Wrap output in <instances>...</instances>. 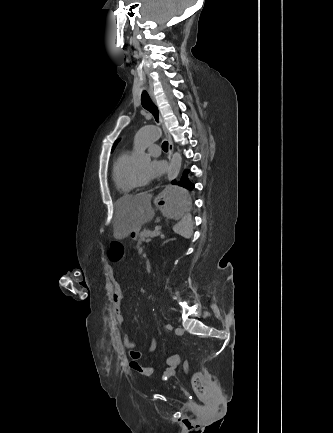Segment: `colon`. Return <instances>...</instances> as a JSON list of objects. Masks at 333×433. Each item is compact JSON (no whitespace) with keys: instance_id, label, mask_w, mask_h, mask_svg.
<instances>
[{"instance_id":"1","label":"colon","mask_w":333,"mask_h":433,"mask_svg":"<svg viewBox=\"0 0 333 433\" xmlns=\"http://www.w3.org/2000/svg\"><path fill=\"white\" fill-rule=\"evenodd\" d=\"M108 251L110 253V263L111 265H120L121 258L125 251V246L122 240H113L108 246ZM181 362V357L178 354L169 356L166 359V364L170 369H174ZM184 369L190 372V366L188 361L183 363ZM130 367L140 375L150 376L153 373L152 367L143 366L137 362H130ZM191 383L196 396L200 401L206 402L209 398V383L207 377L202 372L191 373Z\"/></svg>"}]
</instances>
